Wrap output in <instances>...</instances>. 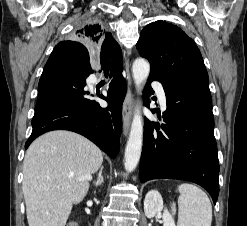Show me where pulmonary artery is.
<instances>
[{
    "label": "pulmonary artery",
    "instance_id": "1",
    "mask_svg": "<svg viewBox=\"0 0 247 226\" xmlns=\"http://www.w3.org/2000/svg\"><path fill=\"white\" fill-rule=\"evenodd\" d=\"M153 87L156 90V93H157L159 102L161 104V107L163 109H166V96H165V92H164L163 86L158 82H154L153 83Z\"/></svg>",
    "mask_w": 247,
    "mask_h": 226
}]
</instances>
